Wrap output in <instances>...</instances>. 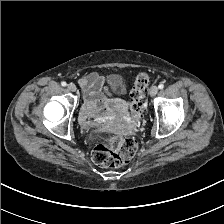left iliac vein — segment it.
<instances>
[{
    "mask_svg": "<svg viewBox=\"0 0 224 224\" xmlns=\"http://www.w3.org/2000/svg\"><path fill=\"white\" fill-rule=\"evenodd\" d=\"M157 93H158V87L156 85H153L150 88V96L151 97H154Z\"/></svg>",
    "mask_w": 224,
    "mask_h": 224,
    "instance_id": "4c4485c4",
    "label": "left iliac vein"
}]
</instances>
